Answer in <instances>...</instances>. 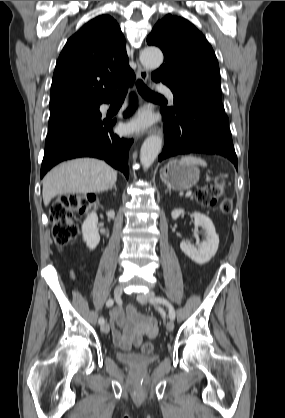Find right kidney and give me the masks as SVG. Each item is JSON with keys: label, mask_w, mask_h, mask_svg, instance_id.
<instances>
[{"label": "right kidney", "mask_w": 285, "mask_h": 418, "mask_svg": "<svg viewBox=\"0 0 285 418\" xmlns=\"http://www.w3.org/2000/svg\"><path fill=\"white\" fill-rule=\"evenodd\" d=\"M97 224L98 217L95 212L90 213L82 224L83 240L90 250H94L100 242Z\"/></svg>", "instance_id": "1"}]
</instances>
